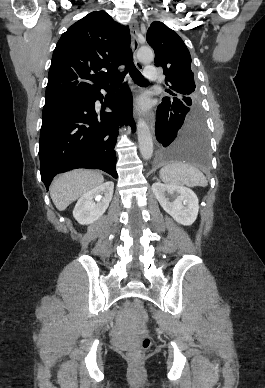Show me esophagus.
Here are the masks:
<instances>
[{
  "label": "esophagus",
  "mask_w": 265,
  "mask_h": 388,
  "mask_svg": "<svg viewBox=\"0 0 265 388\" xmlns=\"http://www.w3.org/2000/svg\"><path fill=\"white\" fill-rule=\"evenodd\" d=\"M130 32L132 37V51H133V57H134V63L135 66L138 68V70H143V65L137 60L136 53L139 48V40H138V33H139V25L136 19H132L130 22ZM147 123L149 124V127L154 133V115L153 113L149 114L147 117Z\"/></svg>",
  "instance_id": "34e87169"
}]
</instances>
